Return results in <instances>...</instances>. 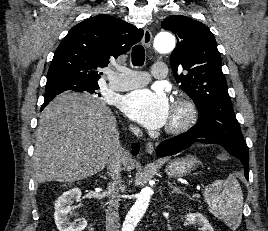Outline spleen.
I'll use <instances>...</instances> for the list:
<instances>
[{
  "label": "spleen",
  "mask_w": 268,
  "mask_h": 231,
  "mask_svg": "<svg viewBox=\"0 0 268 231\" xmlns=\"http://www.w3.org/2000/svg\"><path fill=\"white\" fill-rule=\"evenodd\" d=\"M204 200L209 211L232 229L242 221L243 194L238 180L229 175L226 180H216L206 186Z\"/></svg>",
  "instance_id": "obj_1"
}]
</instances>
